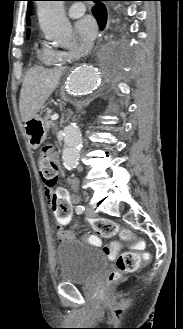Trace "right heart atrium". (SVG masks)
<instances>
[{"instance_id": "1", "label": "right heart atrium", "mask_w": 183, "mask_h": 329, "mask_svg": "<svg viewBox=\"0 0 183 329\" xmlns=\"http://www.w3.org/2000/svg\"><path fill=\"white\" fill-rule=\"evenodd\" d=\"M83 48H84V46H82L80 43H78L77 46L73 49L59 51V56H60L61 60L72 59V58L80 55Z\"/></svg>"}]
</instances>
